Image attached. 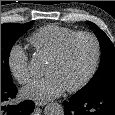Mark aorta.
<instances>
[{"label": "aorta", "instance_id": "1", "mask_svg": "<svg viewBox=\"0 0 115 115\" xmlns=\"http://www.w3.org/2000/svg\"><path fill=\"white\" fill-rule=\"evenodd\" d=\"M43 62L33 59L30 62V69L33 72H36L39 68L42 67ZM45 115H64L63 107L58 103H49L45 107Z\"/></svg>", "mask_w": 115, "mask_h": 115}]
</instances>
